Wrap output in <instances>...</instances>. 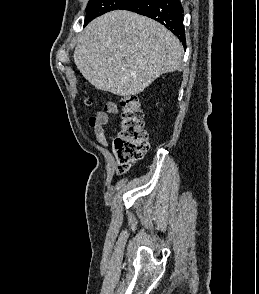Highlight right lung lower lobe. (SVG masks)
I'll return each mask as SVG.
<instances>
[{"instance_id": "obj_1", "label": "right lung lower lobe", "mask_w": 259, "mask_h": 294, "mask_svg": "<svg viewBox=\"0 0 259 294\" xmlns=\"http://www.w3.org/2000/svg\"><path fill=\"white\" fill-rule=\"evenodd\" d=\"M121 9L136 12L160 22L186 47L183 8L179 0H134Z\"/></svg>"}]
</instances>
